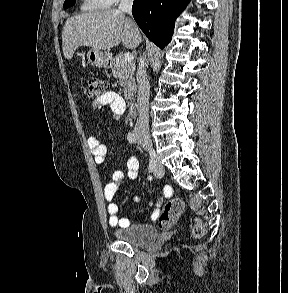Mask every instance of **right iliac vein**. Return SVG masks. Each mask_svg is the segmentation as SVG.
Segmentation results:
<instances>
[{"instance_id": "1", "label": "right iliac vein", "mask_w": 288, "mask_h": 293, "mask_svg": "<svg viewBox=\"0 0 288 293\" xmlns=\"http://www.w3.org/2000/svg\"><path fill=\"white\" fill-rule=\"evenodd\" d=\"M141 143H142L143 147H145V149L147 150V152L149 154V157L157 156L155 150L153 152L149 151V148L153 147V145H152V143H151V141L149 139H147V138L141 139ZM150 163H151V160H150ZM151 165H152V163H151ZM153 171H154V174L156 175V177H158V178H162L164 176V174H165L164 166L161 163L159 164L157 169L153 170Z\"/></svg>"}]
</instances>
